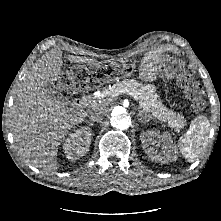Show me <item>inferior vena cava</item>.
<instances>
[{
  "label": "inferior vena cava",
  "instance_id": "obj_1",
  "mask_svg": "<svg viewBox=\"0 0 221 221\" xmlns=\"http://www.w3.org/2000/svg\"><path fill=\"white\" fill-rule=\"evenodd\" d=\"M105 115V109L101 106H95L89 113V123L101 122Z\"/></svg>",
  "mask_w": 221,
  "mask_h": 221
}]
</instances>
